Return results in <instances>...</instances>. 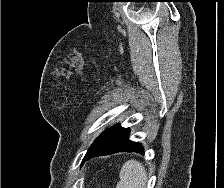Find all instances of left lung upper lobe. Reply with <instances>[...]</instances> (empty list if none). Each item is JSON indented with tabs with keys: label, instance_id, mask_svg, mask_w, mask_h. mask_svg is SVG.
I'll return each mask as SVG.
<instances>
[{
	"label": "left lung upper lobe",
	"instance_id": "obj_1",
	"mask_svg": "<svg viewBox=\"0 0 224 188\" xmlns=\"http://www.w3.org/2000/svg\"><path fill=\"white\" fill-rule=\"evenodd\" d=\"M110 129H111V128H110ZM110 129H108L106 132L102 133V134L95 140V142L92 144V146L89 148L88 151H90L91 149H93V148L97 145V143L102 139V137H103V136H104Z\"/></svg>",
	"mask_w": 224,
	"mask_h": 188
}]
</instances>
